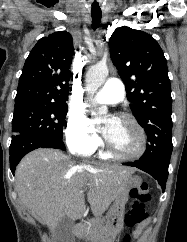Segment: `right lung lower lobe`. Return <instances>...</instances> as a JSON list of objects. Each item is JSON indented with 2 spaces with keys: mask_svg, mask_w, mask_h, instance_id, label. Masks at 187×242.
I'll return each instance as SVG.
<instances>
[{
  "mask_svg": "<svg viewBox=\"0 0 187 242\" xmlns=\"http://www.w3.org/2000/svg\"><path fill=\"white\" fill-rule=\"evenodd\" d=\"M37 148L66 150L62 139L32 134L14 135L10 145V169L14 174L17 164L28 152Z\"/></svg>",
  "mask_w": 187,
  "mask_h": 242,
  "instance_id": "obj_1",
  "label": "right lung lower lobe"
}]
</instances>
